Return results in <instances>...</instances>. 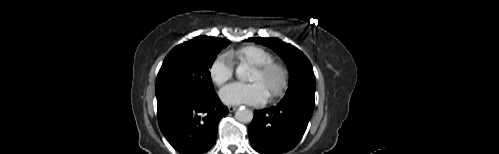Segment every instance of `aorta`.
Wrapping results in <instances>:
<instances>
[{"label": "aorta", "mask_w": 499, "mask_h": 154, "mask_svg": "<svg viewBox=\"0 0 499 154\" xmlns=\"http://www.w3.org/2000/svg\"><path fill=\"white\" fill-rule=\"evenodd\" d=\"M236 75L240 80H247L250 75V67L241 64L236 69ZM235 119L242 123H250L253 119V112L247 108L239 109L235 112Z\"/></svg>", "instance_id": "obj_1"}]
</instances>
